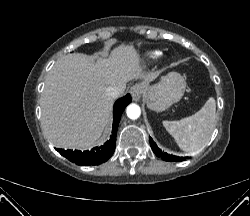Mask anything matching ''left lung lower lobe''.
Masks as SVG:
<instances>
[{"instance_id": "0a47b994", "label": "left lung lower lobe", "mask_w": 250, "mask_h": 216, "mask_svg": "<svg viewBox=\"0 0 250 216\" xmlns=\"http://www.w3.org/2000/svg\"><path fill=\"white\" fill-rule=\"evenodd\" d=\"M150 145L153 150V152L158 156L161 157L165 161H170V162H178V161H183L187 159L188 157H178V156H173L167 153H163L156 145V143L152 140L151 137H149Z\"/></svg>"}]
</instances>
